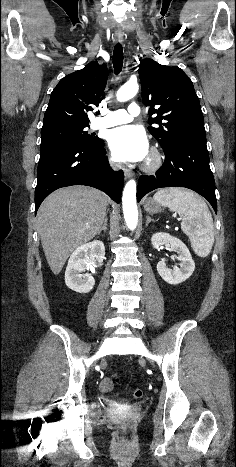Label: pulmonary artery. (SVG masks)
I'll return each instance as SVG.
<instances>
[{
	"mask_svg": "<svg viewBox=\"0 0 236 467\" xmlns=\"http://www.w3.org/2000/svg\"><path fill=\"white\" fill-rule=\"evenodd\" d=\"M141 113V109L137 103L129 105L128 110L118 109L109 111L104 117L96 118L92 122L93 129L112 127L119 124L127 123L133 120L134 117Z\"/></svg>",
	"mask_w": 236,
	"mask_h": 467,
	"instance_id": "obj_1",
	"label": "pulmonary artery"
}]
</instances>
